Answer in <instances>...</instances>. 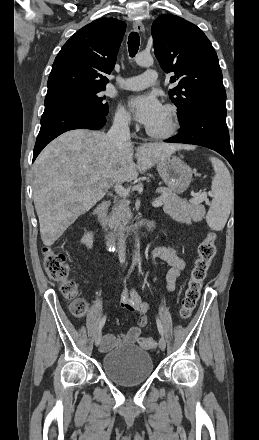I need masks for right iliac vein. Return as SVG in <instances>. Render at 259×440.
I'll return each mask as SVG.
<instances>
[{
    "label": "right iliac vein",
    "mask_w": 259,
    "mask_h": 440,
    "mask_svg": "<svg viewBox=\"0 0 259 440\" xmlns=\"http://www.w3.org/2000/svg\"><path fill=\"white\" fill-rule=\"evenodd\" d=\"M102 333L101 330H99L95 335V345L98 346L101 342Z\"/></svg>",
    "instance_id": "63e3f726"
}]
</instances>
